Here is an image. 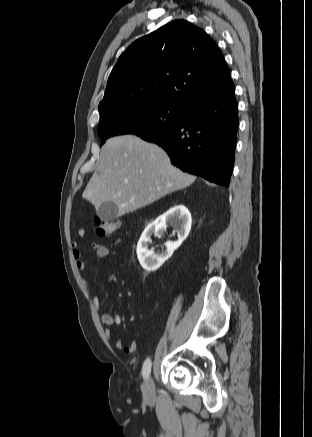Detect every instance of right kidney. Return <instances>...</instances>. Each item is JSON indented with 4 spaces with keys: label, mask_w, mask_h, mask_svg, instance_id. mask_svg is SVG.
Segmentation results:
<instances>
[{
    "label": "right kidney",
    "mask_w": 312,
    "mask_h": 437,
    "mask_svg": "<svg viewBox=\"0 0 312 437\" xmlns=\"http://www.w3.org/2000/svg\"><path fill=\"white\" fill-rule=\"evenodd\" d=\"M170 223L177 230L178 240L166 243V251L161 255H155L148 249L151 235H159ZM191 214L184 205H177L159 216L153 223L149 224L143 231L137 244V257L141 266L146 271H155L171 257L181 243L187 238L191 230Z\"/></svg>",
    "instance_id": "1"
}]
</instances>
